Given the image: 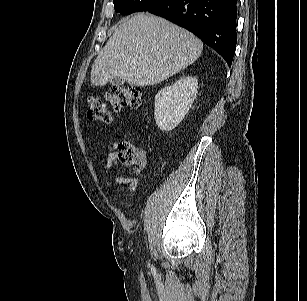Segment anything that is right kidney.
<instances>
[{
	"label": "right kidney",
	"instance_id": "ca27d5eb",
	"mask_svg": "<svg viewBox=\"0 0 307 301\" xmlns=\"http://www.w3.org/2000/svg\"><path fill=\"white\" fill-rule=\"evenodd\" d=\"M197 89V79L187 76L156 94L154 119L160 130L171 131L183 120L192 106Z\"/></svg>",
	"mask_w": 307,
	"mask_h": 301
}]
</instances>
